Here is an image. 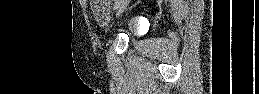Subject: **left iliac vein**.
<instances>
[{"mask_svg": "<svg viewBox=\"0 0 259 94\" xmlns=\"http://www.w3.org/2000/svg\"><path fill=\"white\" fill-rule=\"evenodd\" d=\"M127 0H125V1H123L122 2V4L120 5V7H119V10H118V15H120L122 12H123V10H124V8L126 7V5H127Z\"/></svg>", "mask_w": 259, "mask_h": 94, "instance_id": "1", "label": "left iliac vein"}]
</instances>
